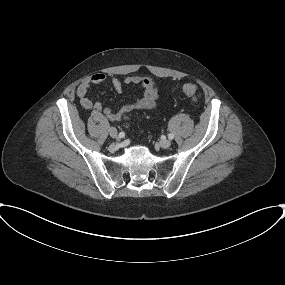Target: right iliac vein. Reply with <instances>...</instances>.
<instances>
[{
  "instance_id": "63e3f726",
  "label": "right iliac vein",
  "mask_w": 285,
  "mask_h": 285,
  "mask_svg": "<svg viewBox=\"0 0 285 285\" xmlns=\"http://www.w3.org/2000/svg\"><path fill=\"white\" fill-rule=\"evenodd\" d=\"M109 135L112 137V138H117V130L116 128L114 127H110L109 128Z\"/></svg>"
}]
</instances>
